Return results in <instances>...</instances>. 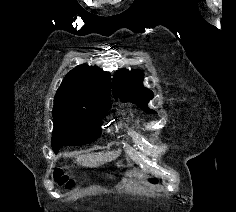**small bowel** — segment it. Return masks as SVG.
<instances>
[{"label": "small bowel", "mask_w": 236, "mask_h": 212, "mask_svg": "<svg viewBox=\"0 0 236 212\" xmlns=\"http://www.w3.org/2000/svg\"><path fill=\"white\" fill-rule=\"evenodd\" d=\"M122 179H126V176H122Z\"/></svg>", "instance_id": "c3829d8e"}]
</instances>
